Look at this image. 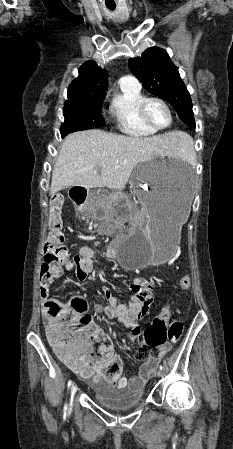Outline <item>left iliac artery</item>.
<instances>
[{"label": "left iliac artery", "mask_w": 233, "mask_h": 449, "mask_svg": "<svg viewBox=\"0 0 233 449\" xmlns=\"http://www.w3.org/2000/svg\"><path fill=\"white\" fill-rule=\"evenodd\" d=\"M163 369H164V367L162 365H160V370H163Z\"/></svg>", "instance_id": "left-iliac-artery-1"}]
</instances>
